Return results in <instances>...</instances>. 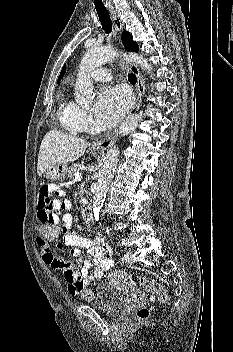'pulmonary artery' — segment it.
<instances>
[{"instance_id":"obj_1","label":"pulmonary artery","mask_w":233,"mask_h":352,"mask_svg":"<svg viewBox=\"0 0 233 352\" xmlns=\"http://www.w3.org/2000/svg\"><path fill=\"white\" fill-rule=\"evenodd\" d=\"M91 78L94 79L95 81H109L112 76L109 70L104 69V68H97L91 72Z\"/></svg>"}]
</instances>
